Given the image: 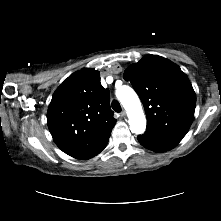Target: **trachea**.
Here are the masks:
<instances>
[{"mask_svg":"<svg viewBox=\"0 0 221 221\" xmlns=\"http://www.w3.org/2000/svg\"><path fill=\"white\" fill-rule=\"evenodd\" d=\"M111 106H112V108L115 112H118V113L121 112V106H120V103L117 100H114L112 102Z\"/></svg>","mask_w":221,"mask_h":221,"instance_id":"3493384b","label":"trachea"}]
</instances>
